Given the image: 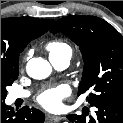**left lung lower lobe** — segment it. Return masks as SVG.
<instances>
[{
    "instance_id": "0a47b994",
    "label": "left lung lower lobe",
    "mask_w": 123,
    "mask_h": 123,
    "mask_svg": "<svg viewBox=\"0 0 123 123\" xmlns=\"http://www.w3.org/2000/svg\"><path fill=\"white\" fill-rule=\"evenodd\" d=\"M95 107L97 117H90L89 121L76 114L67 115V118L74 123H123V100L107 99Z\"/></svg>"
}]
</instances>
